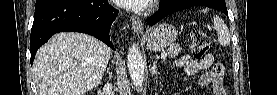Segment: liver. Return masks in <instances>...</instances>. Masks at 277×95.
<instances>
[{"label": "liver", "instance_id": "1", "mask_svg": "<svg viewBox=\"0 0 277 95\" xmlns=\"http://www.w3.org/2000/svg\"><path fill=\"white\" fill-rule=\"evenodd\" d=\"M110 55V48L92 36L53 35L33 63L39 95H84L101 83Z\"/></svg>", "mask_w": 277, "mask_h": 95}]
</instances>
